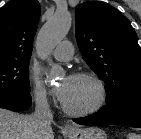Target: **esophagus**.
Returning <instances> with one entry per match:
<instances>
[{
  "label": "esophagus",
  "mask_w": 141,
  "mask_h": 139,
  "mask_svg": "<svg viewBox=\"0 0 141 139\" xmlns=\"http://www.w3.org/2000/svg\"><path fill=\"white\" fill-rule=\"evenodd\" d=\"M64 128H65L66 130H71V129H72V126H71L70 124H65V125H64Z\"/></svg>",
  "instance_id": "34e87169"
}]
</instances>
